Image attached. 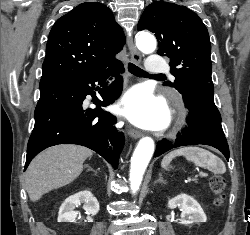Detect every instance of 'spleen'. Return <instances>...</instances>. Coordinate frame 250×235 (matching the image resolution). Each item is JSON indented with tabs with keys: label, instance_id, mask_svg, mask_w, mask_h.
<instances>
[{
	"label": "spleen",
	"instance_id": "3e777b00",
	"mask_svg": "<svg viewBox=\"0 0 250 235\" xmlns=\"http://www.w3.org/2000/svg\"><path fill=\"white\" fill-rule=\"evenodd\" d=\"M176 156H184L188 161L197 166L206 167L215 174H224L226 172L225 164L220 158L199 147H184L171 151L164 156L161 166L165 168Z\"/></svg>",
	"mask_w": 250,
	"mask_h": 235
}]
</instances>
